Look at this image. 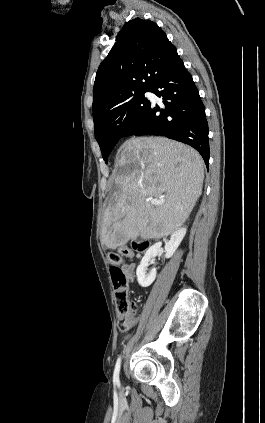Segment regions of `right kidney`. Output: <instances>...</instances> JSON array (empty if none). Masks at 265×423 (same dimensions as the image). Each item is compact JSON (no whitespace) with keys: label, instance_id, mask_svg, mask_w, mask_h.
<instances>
[{"label":"right kidney","instance_id":"1","mask_svg":"<svg viewBox=\"0 0 265 423\" xmlns=\"http://www.w3.org/2000/svg\"><path fill=\"white\" fill-rule=\"evenodd\" d=\"M187 229L185 227L179 228L171 234L170 240L165 244V256L166 258H171L177 248L179 247L180 243L182 242L183 238L186 235ZM162 246L161 242H157L152 245L145 253L144 257L142 258L140 265L137 267L136 275L138 283L141 287H148L150 286L156 276H157V268H153L149 274H146L147 267L149 262L153 257L158 254Z\"/></svg>","mask_w":265,"mask_h":423}]
</instances>
